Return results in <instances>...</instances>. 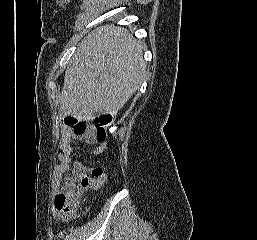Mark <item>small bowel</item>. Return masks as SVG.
Returning a JSON list of instances; mask_svg holds the SVG:
<instances>
[{
	"instance_id": "small-bowel-1",
	"label": "small bowel",
	"mask_w": 257,
	"mask_h": 240,
	"mask_svg": "<svg viewBox=\"0 0 257 240\" xmlns=\"http://www.w3.org/2000/svg\"><path fill=\"white\" fill-rule=\"evenodd\" d=\"M85 141L88 144H98L90 153L96 156L102 153L107 144L97 139L93 129H88L82 135H76L68 128H64L60 140L58 164L54 168L53 186L58 194H66L76 189L80 178L89 171V168L74 156V143ZM55 222H62L64 213L55 205L52 209Z\"/></svg>"
}]
</instances>
